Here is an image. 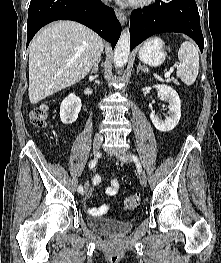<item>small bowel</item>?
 Masks as SVG:
<instances>
[{
    "instance_id": "obj_1",
    "label": "small bowel",
    "mask_w": 221,
    "mask_h": 263,
    "mask_svg": "<svg viewBox=\"0 0 221 263\" xmlns=\"http://www.w3.org/2000/svg\"><path fill=\"white\" fill-rule=\"evenodd\" d=\"M91 182L94 185H99L103 182V178L99 175H94L91 177ZM118 188H119V183H118L117 179L114 177H111L109 184L105 188V193L107 196H114L117 193ZM90 196H91V192L87 191L86 192V200H88L90 198ZM86 209L92 215H101V214H104L108 211L109 205L103 204V205L98 206V207L86 206Z\"/></svg>"
}]
</instances>
